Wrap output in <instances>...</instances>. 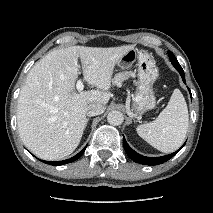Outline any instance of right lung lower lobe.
I'll use <instances>...</instances> for the list:
<instances>
[{"mask_svg": "<svg viewBox=\"0 0 213 213\" xmlns=\"http://www.w3.org/2000/svg\"><path fill=\"white\" fill-rule=\"evenodd\" d=\"M85 149H86V147L83 150H81L77 155H75L72 158L67 159V160L55 161V162H47V161H43V162L47 163V164H50V165H55V166L71 163V162L77 160L84 153Z\"/></svg>", "mask_w": 213, "mask_h": 213, "instance_id": "98d812e1", "label": "right lung lower lobe"}]
</instances>
